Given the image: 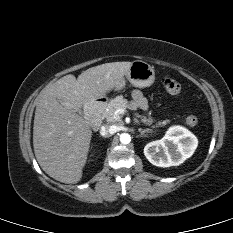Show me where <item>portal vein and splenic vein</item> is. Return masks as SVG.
<instances>
[{
  "label": "portal vein and splenic vein",
  "mask_w": 233,
  "mask_h": 233,
  "mask_svg": "<svg viewBox=\"0 0 233 233\" xmlns=\"http://www.w3.org/2000/svg\"><path fill=\"white\" fill-rule=\"evenodd\" d=\"M125 112L124 109H118L115 111V117H118L120 114H123Z\"/></svg>",
  "instance_id": "18ae733b"
}]
</instances>
